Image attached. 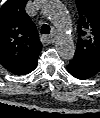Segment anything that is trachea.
<instances>
[{
    "label": "trachea",
    "instance_id": "1",
    "mask_svg": "<svg viewBox=\"0 0 100 118\" xmlns=\"http://www.w3.org/2000/svg\"><path fill=\"white\" fill-rule=\"evenodd\" d=\"M41 34H50V26L48 24L41 26Z\"/></svg>",
    "mask_w": 100,
    "mask_h": 118
}]
</instances>
